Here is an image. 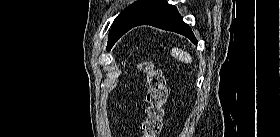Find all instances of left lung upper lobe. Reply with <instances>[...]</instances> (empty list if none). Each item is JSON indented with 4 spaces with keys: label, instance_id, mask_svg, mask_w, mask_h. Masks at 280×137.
Wrapping results in <instances>:
<instances>
[{
    "label": "left lung upper lobe",
    "instance_id": "obj_1",
    "mask_svg": "<svg viewBox=\"0 0 280 137\" xmlns=\"http://www.w3.org/2000/svg\"><path fill=\"white\" fill-rule=\"evenodd\" d=\"M162 0H138L125 8L114 20L107 43L110 50L115 42L135 23L153 10Z\"/></svg>",
    "mask_w": 280,
    "mask_h": 137
}]
</instances>
